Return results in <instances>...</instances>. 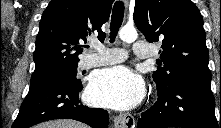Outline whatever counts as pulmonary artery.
<instances>
[{
    "mask_svg": "<svg viewBox=\"0 0 221 128\" xmlns=\"http://www.w3.org/2000/svg\"><path fill=\"white\" fill-rule=\"evenodd\" d=\"M154 47L145 40H138L133 43L132 57L136 59L149 58L153 55ZM127 51L119 48H106L101 44H94L92 51L80 61L81 68L105 66L123 61Z\"/></svg>",
    "mask_w": 221,
    "mask_h": 128,
    "instance_id": "pulmonary-artery-1",
    "label": "pulmonary artery"
}]
</instances>
